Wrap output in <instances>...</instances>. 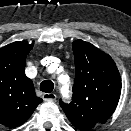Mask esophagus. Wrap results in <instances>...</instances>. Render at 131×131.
Segmentation results:
<instances>
[{"label": "esophagus", "instance_id": "obj_1", "mask_svg": "<svg viewBox=\"0 0 131 131\" xmlns=\"http://www.w3.org/2000/svg\"><path fill=\"white\" fill-rule=\"evenodd\" d=\"M44 101H55L57 96L54 93H44L43 94Z\"/></svg>", "mask_w": 131, "mask_h": 131}]
</instances>
